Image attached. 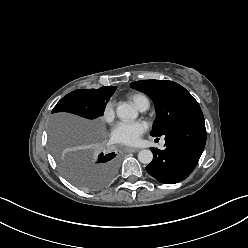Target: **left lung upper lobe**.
<instances>
[{
	"instance_id": "5c2ea615",
	"label": "left lung upper lobe",
	"mask_w": 248,
	"mask_h": 248,
	"mask_svg": "<svg viewBox=\"0 0 248 248\" xmlns=\"http://www.w3.org/2000/svg\"><path fill=\"white\" fill-rule=\"evenodd\" d=\"M154 102L156 120L150 134L165 135L184 119L202 113L198 102L181 85L168 80H140L130 84Z\"/></svg>"
}]
</instances>
